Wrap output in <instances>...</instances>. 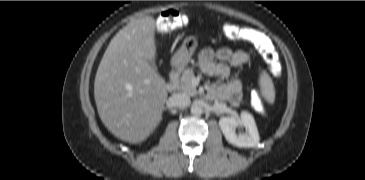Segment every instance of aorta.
I'll return each mask as SVG.
<instances>
[{"label":"aorta","instance_id":"762f6f07","mask_svg":"<svg viewBox=\"0 0 365 180\" xmlns=\"http://www.w3.org/2000/svg\"><path fill=\"white\" fill-rule=\"evenodd\" d=\"M203 113V108L200 104H193L191 107V114L194 116H200Z\"/></svg>","mask_w":365,"mask_h":180}]
</instances>
